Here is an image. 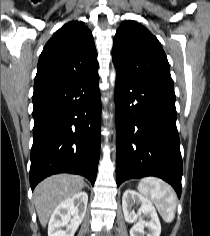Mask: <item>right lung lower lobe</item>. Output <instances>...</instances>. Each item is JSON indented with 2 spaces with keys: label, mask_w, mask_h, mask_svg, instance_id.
Instances as JSON below:
<instances>
[{
  "label": "right lung lower lobe",
  "mask_w": 210,
  "mask_h": 236,
  "mask_svg": "<svg viewBox=\"0 0 210 236\" xmlns=\"http://www.w3.org/2000/svg\"><path fill=\"white\" fill-rule=\"evenodd\" d=\"M97 71L33 97L30 185L56 173L83 175L92 185L100 155L101 101Z\"/></svg>",
  "instance_id": "98d812e1"
}]
</instances>
